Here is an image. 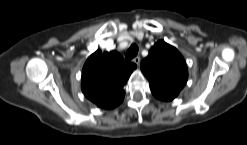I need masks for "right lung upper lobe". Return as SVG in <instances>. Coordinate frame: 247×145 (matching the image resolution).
Segmentation results:
<instances>
[{"label":"right lung upper lobe","instance_id":"obj_1","mask_svg":"<svg viewBox=\"0 0 247 145\" xmlns=\"http://www.w3.org/2000/svg\"><path fill=\"white\" fill-rule=\"evenodd\" d=\"M136 65L127 62L117 51L94 52L86 61L81 86L84 95L103 109L118 106L124 99L126 84Z\"/></svg>","mask_w":247,"mask_h":145}]
</instances>
